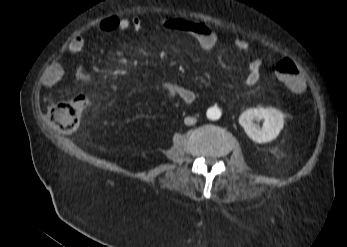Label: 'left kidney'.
I'll return each mask as SVG.
<instances>
[{
    "label": "left kidney",
    "mask_w": 347,
    "mask_h": 247,
    "mask_svg": "<svg viewBox=\"0 0 347 247\" xmlns=\"http://www.w3.org/2000/svg\"><path fill=\"white\" fill-rule=\"evenodd\" d=\"M264 119L261 129L253 120ZM239 123L249 138L257 143H268L279 135L284 127V115L273 107H257L244 111L239 117Z\"/></svg>",
    "instance_id": "1"
}]
</instances>
